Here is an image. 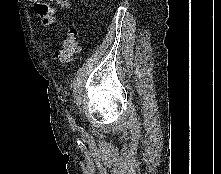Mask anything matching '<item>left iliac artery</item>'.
Instances as JSON below:
<instances>
[{"label": "left iliac artery", "instance_id": "left-iliac-artery-1", "mask_svg": "<svg viewBox=\"0 0 221 174\" xmlns=\"http://www.w3.org/2000/svg\"><path fill=\"white\" fill-rule=\"evenodd\" d=\"M68 116H69V119H72V117H71V115L70 114H68ZM73 122V121H72Z\"/></svg>", "mask_w": 221, "mask_h": 174}]
</instances>
